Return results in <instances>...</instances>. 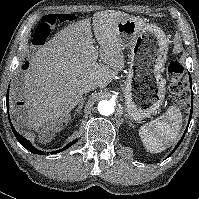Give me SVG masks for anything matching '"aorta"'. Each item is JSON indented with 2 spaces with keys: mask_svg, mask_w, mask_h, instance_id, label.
Segmentation results:
<instances>
[{
  "mask_svg": "<svg viewBox=\"0 0 199 199\" xmlns=\"http://www.w3.org/2000/svg\"><path fill=\"white\" fill-rule=\"evenodd\" d=\"M98 111L104 116L111 115L114 112V104L109 100H102L98 104Z\"/></svg>",
  "mask_w": 199,
  "mask_h": 199,
  "instance_id": "aorta-1",
  "label": "aorta"
}]
</instances>
